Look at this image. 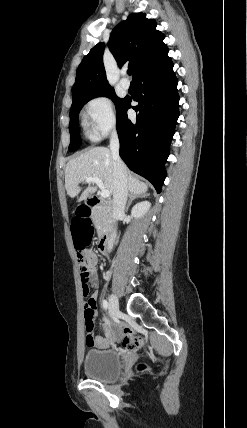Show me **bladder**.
Returning a JSON list of instances; mask_svg holds the SVG:
<instances>
[{"mask_svg": "<svg viewBox=\"0 0 247 428\" xmlns=\"http://www.w3.org/2000/svg\"><path fill=\"white\" fill-rule=\"evenodd\" d=\"M83 367L86 375L92 379L112 381L122 372V359L115 350L93 349L86 353Z\"/></svg>", "mask_w": 247, "mask_h": 428, "instance_id": "31cf9c89", "label": "bladder"}]
</instances>
